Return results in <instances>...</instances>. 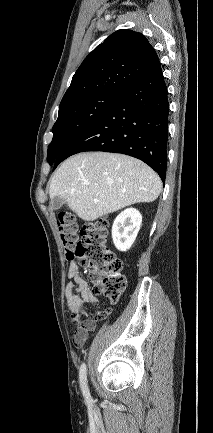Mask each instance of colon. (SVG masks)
Here are the masks:
<instances>
[{
	"label": "colon",
	"instance_id": "colon-1",
	"mask_svg": "<svg viewBox=\"0 0 213 433\" xmlns=\"http://www.w3.org/2000/svg\"><path fill=\"white\" fill-rule=\"evenodd\" d=\"M57 223L66 260L79 261L86 267L93 294H102L116 302L126 287V279L122 261L108 245L107 220L91 222L79 233L75 218L69 213L59 214ZM108 313V310L98 311L97 318L102 319ZM72 321L77 329L84 325L80 315H73Z\"/></svg>",
	"mask_w": 213,
	"mask_h": 433
}]
</instances>
